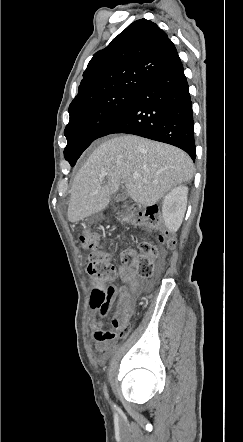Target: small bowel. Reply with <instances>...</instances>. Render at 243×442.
<instances>
[{
	"instance_id": "obj_1",
	"label": "small bowel",
	"mask_w": 243,
	"mask_h": 442,
	"mask_svg": "<svg viewBox=\"0 0 243 442\" xmlns=\"http://www.w3.org/2000/svg\"><path fill=\"white\" fill-rule=\"evenodd\" d=\"M119 275L128 286H122L118 290H114V296L111 303L114 301L116 293H118V308L120 312H133L136 297L143 286V282L136 276L132 268L119 267ZM110 304L103 305L101 308L91 309L90 324L91 330L95 339V346L99 357L101 359L107 357L110 350V341L102 339L105 331L98 319V316H104L110 308Z\"/></svg>"
}]
</instances>
